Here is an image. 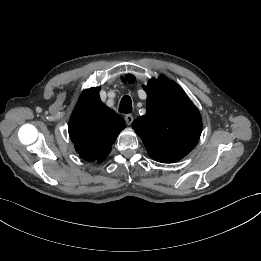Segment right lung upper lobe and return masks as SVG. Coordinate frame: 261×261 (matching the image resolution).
<instances>
[{
	"label": "right lung upper lobe",
	"mask_w": 261,
	"mask_h": 261,
	"mask_svg": "<svg viewBox=\"0 0 261 261\" xmlns=\"http://www.w3.org/2000/svg\"><path fill=\"white\" fill-rule=\"evenodd\" d=\"M100 88L85 90L69 121V135L80 157L102 162L111 151L125 121L101 103Z\"/></svg>",
	"instance_id": "1"
}]
</instances>
